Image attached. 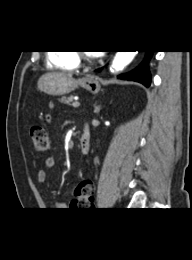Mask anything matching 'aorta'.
I'll return each instance as SVG.
<instances>
[{"mask_svg": "<svg viewBox=\"0 0 192 260\" xmlns=\"http://www.w3.org/2000/svg\"><path fill=\"white\" fill-rule=\"evenodd\" d=\"M137 51H117L112 62V72L124 69L134 59Z\"/></svg>", "mask_w": 192, "mask_h": 260, "instance_id": "762f6f07", "label": "aorta"}]
</instances>
